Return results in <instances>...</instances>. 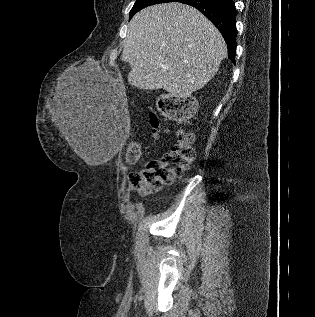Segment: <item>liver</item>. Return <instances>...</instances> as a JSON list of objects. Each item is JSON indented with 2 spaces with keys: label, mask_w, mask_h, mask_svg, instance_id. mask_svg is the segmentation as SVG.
Here are the masks:
<instances>
[{
  "label": "liver",
  "mask_w": 315,
  "mask_h": 317,
  "mask_svg": "<svg viewBox=\"0 0 315 317\" xmlns=\"http://www.w3.org/2000/svg\"><path fill=\"white\" fill-rule=\"evenodd\" d=\"M227 56L217 28L197 9L181 3L145 8L128 24L122 60L131 70L128 83L187 98L204 87ZM72 89L59 85L52 121L83 157V120Z\"/></svg>",
  "instance_id": "liver-1"
}]
</instances>
